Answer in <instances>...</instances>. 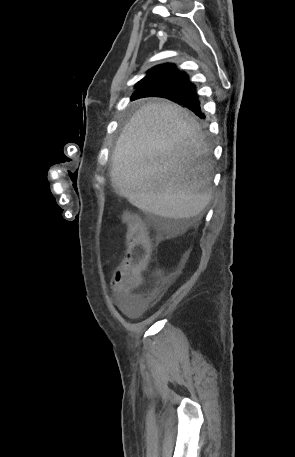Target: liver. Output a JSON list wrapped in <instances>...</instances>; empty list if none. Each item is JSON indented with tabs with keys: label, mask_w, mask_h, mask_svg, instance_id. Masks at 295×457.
<instances>
[{
	"label": "liver",
	"mask_w": 295,
	"mask_h": 457,
	"mask_svg": "<svg viewBox=\"0 0 295 457\" xmlns=\"http://www.w3.org/2000/svg\"><path fill=\"white\" fill-rule=\"evenodd\" d=\"M208 147L196 118L169 101L142 106L123 128L112 156V186L137 208L188 220L212 197Z\"/></svg>",
	"instance_id": "liver-1"
}]
</instances>
